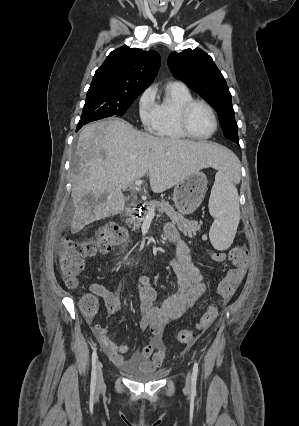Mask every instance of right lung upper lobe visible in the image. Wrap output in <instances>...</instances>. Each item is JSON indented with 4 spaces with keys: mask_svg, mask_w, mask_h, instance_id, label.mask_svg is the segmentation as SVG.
<instances>
[{
    "mask_svg": "<svg viewBox=\"0 0 299 426\" xmlns=\"http://www.w3.org/2000/svg\"><path fill=\"white\" fill-rule=\"evenodd\" d=\"M160 67L157 52L123 46L112 51L95 72L90 86H105L126 92H143Z\"/></svg>",
    "mask_w": 299,
    "mask_h": 426,
    "instance_id": "obj_1",
    "label": "right lung upper lobe"
}]
</instances>
